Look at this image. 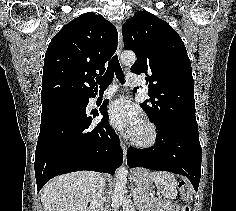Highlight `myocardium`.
I'll return each mask as SVG.
<instances>
[{
    "instance_id": "myocardium-1",
    "label": "myocardium",
    "mask_w": 236,
    "mask_h": 211,
    "mask_svg": "<svg viewBox=\"0 0 236 211\" xmlns=\"http://www.w3.org/2000/svg\"><path fill=\"white\" fill-rule=\"evenodd\" d=\"M142 131L140 133L133 132L129 139L133 145L138 147H150L157 141L158 133L155 125L148 119L141 122Z\"/></svg>"
}]
</instances>
